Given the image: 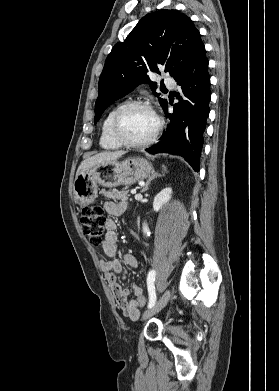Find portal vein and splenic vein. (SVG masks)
<instances>
[{"label":"portal vein and splenic vein","mask_w":279,"mask_h":391,"mask_svg":"<svg viewBox=\"0 0 279 391\" xmlns=\"http://www.w3.org/2000/svg\"><path fill=\"white\" fill-rule=\"evenodd\" d=\"M130 192H131V194H136V190L135 189H132Z\"/></svg>","instance_id":"18ae733b"}]
</instances>
